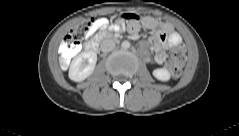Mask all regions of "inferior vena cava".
<instances>
[{
  "mask_svg": "<svg viewBox=\"0 0 239 136\" xmlns=\"http://www.w3.org/2000/svg\"><path fill=\"white\" fill-rule=\"evenodd\" d=\"M116 44L112 39H104L100 44L102 52H110L115 48Z\"/></svg>",
  "mask_w": 239,
  "mask_h": 136,
  "instance_id": "602c4592",
  "label": "inferior vena cava"
}]
</instances>
